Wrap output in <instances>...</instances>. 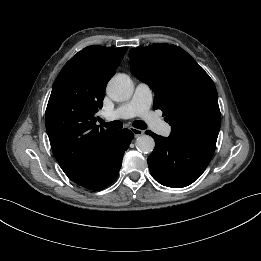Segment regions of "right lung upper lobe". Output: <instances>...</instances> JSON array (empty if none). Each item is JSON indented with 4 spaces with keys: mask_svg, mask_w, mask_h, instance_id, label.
Segmentation results:
<instances>
[{
    "mask_svg": "<svg viewBox=\"0 0 261 261\" xmlns=\"http://www.w3.org/2000/svg\"><path fill=\"white\" fill-rule=\"evenodd\" d=\"M127 47L88 46L75 54L57 76L45 123L53 154L72 181L101 158L114 130L99 128L98 109L105 88Z\"/></svg>",
    "mask_w": 261,
    "mask_h": 261,
    "instance_id": "cb5924a9",
    "label": "right lung upper lobe"
}]
</instances>
